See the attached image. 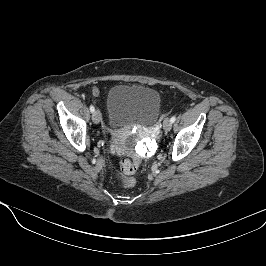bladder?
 Listing matches in <instances>:
<instances>
[{"instance_id":"bladder-1","label":"bladder","mask_w":266,"mask_h":266,"mask_svg":"<svg viewBox=\"0 0 266 266\" xmlns=\"http://www.w3.org/2000/svg\"><path fill=\"white\" fill-rule=\"evenodd\" d=\"M106 103L109 126L116 130L132 124H154L160 112L161 98L149 87L117 84L109 90Z\"/></svg>"}]
</instances>
